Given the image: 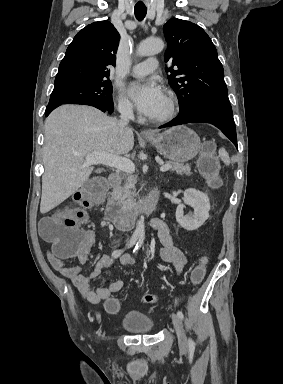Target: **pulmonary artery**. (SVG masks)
Here are the masks:
<instances>
[{
    "instance_id": "e3ab8cb5",
    "label": "pulmonary artery",
    "mask_w": 283,
    "mask_h": 384,
    "mask_svg": "<svg viewBox=\"0 0 283 384\" xmlns=\"http://www.w3.org/2000/svg\"><path fill=\"white\" fill-rule=\"evenodd\" d=\"M156 67H157L156 61H147L146 64L137 63L130 70V74L134 77L145 76L151 73L152 71H155Z\"/></svg>"
}]
</instances>
